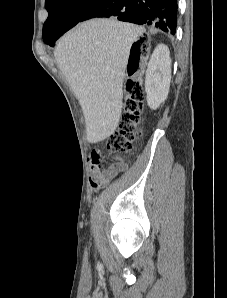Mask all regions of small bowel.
Returning a JSON list of instances; mask_svg holds the SVG:
<instances>
[{"label": "small bowel", "instance_id": "1", "mask_svg": "<svg viewBox=\"0 0 227 298\" xmlns=\"http://www.w3.org/2000/svg\"><path fill=\"white\" fill-rule=\"evenodd\" d=\"M89 162L92 167V186L98 188L115 177L118 173L124 171L128 167L126 160L117 159V162L106 169L101 167V153L98 150H90Z\"/></svg>", "mask_w": 227, "mask_h": 298}]
</instances>
